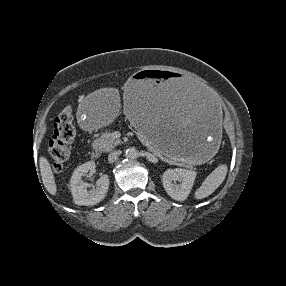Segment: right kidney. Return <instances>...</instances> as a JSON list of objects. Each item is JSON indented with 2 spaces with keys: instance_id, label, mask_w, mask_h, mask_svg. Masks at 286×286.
Instances as JSON below:
<instances>
[{
  "instance_id": "obj_1",
  "label": "right kidney",
  "mask_w": 286,
  "mask_h": 286,
  "mask_svg": "<svg viewBox=\"0 0 286 286\" xmlns=\"http://www.w3.org/2000/svg\"><path fill=\"white\" fill-rule=\"evenodd\" d=\"M95 162L89 161L78 166L70 180V190L73 196V200L77 205H95L102 201L109 188V177L103 175L96 182V188L88 191V184L82 180V176L95 169Z\"/></svg>"
}]
</instances>
